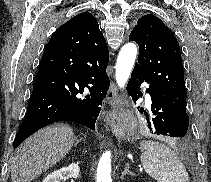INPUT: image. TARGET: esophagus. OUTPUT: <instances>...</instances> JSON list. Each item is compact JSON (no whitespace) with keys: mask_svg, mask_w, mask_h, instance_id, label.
I'll return each instance as SVG.
<instances>
[{"mask_svg":"<svg viewBox=\"0 0 211 182\" xmlns=\"http://www.w3.org/2000/svg\"><path fill=\"white\" fill-rule=\"evenodd\" d=\"M107 100L114 107H119L124 102V97L119 95L117 87L112 83L107 93Z\"/></svg>","mask_w":211,"mask_h":182,"instance_id":"obj_1","label":"esophagus"}]
</instances>
